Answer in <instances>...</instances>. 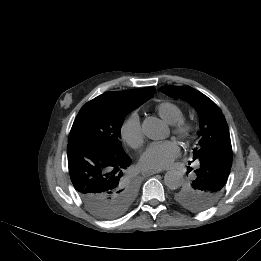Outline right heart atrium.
I'll use <instances>...</instances> for the list:
<instances>
[{
  "instance_id": "1",
  "label": "right heart atrium",
  "mask_w": 261,
  "mask_h": 261,
  "mask_svg": "<svg viewBox=\"0 0 261 261\" xmlns=\"http://www.w3.org/2000/svg\"><path fill=\"white\" fill-rule=\"evenodd\" d=\"M122 140L133 149H138L144 142V135L138 113L132 112L120 127Z\"/></svg>"
}]
</instances>
